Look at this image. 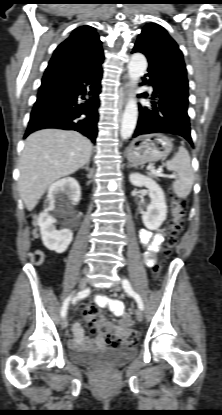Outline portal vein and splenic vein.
I'll use <instances>...</instances> for the list:
<instances>
[{"label": "portal vein and splenic vein", "instance_id": "18ae733b", "mask_svg": "<svg viewBox=\"0 0 222 415\" xmlns=\"http://www.w3.org/2000/svg\"><path fill=\"white\" fill-rule=\"evenodd\" d=\"M148 170L151 171L152 173H160V171H156L152 165L148 166ZM163 176L167 177V178H170V179L176 178L175 174L163 175Z\"/></svg>", "mask_w": 222, "mask_h": 415}]
</instances>
